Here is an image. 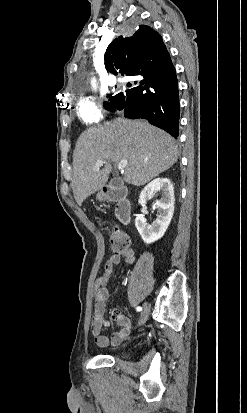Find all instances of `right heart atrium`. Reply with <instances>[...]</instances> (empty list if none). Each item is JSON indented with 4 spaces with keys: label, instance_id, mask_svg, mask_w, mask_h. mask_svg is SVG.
Returning a JSON list of instances; mask_svg holds the SVG:
<instances>
[{
    "label": "right heart atrium",
    "instance_id": "d8ad5b80",
    "mask_svg": "<svg viewBox=\"0 0 247 413\" xmlns=\"http://www.w3.org/2000/svg\"><path fill=\"white\" fill-rule=\"evenodd\" d=\"M91 109H94V110H91ZM104 111L106 113H109L111 111V108L109 106H106L104 108ZM104 111L101 105L95 106L94 100H83L77 106L78 118L83 119V122L85 124H92L94 122V119L104 118L106 116V113ZM95 130H99V129H95Z\"/></svg>",
    "mask_w": 247,
    "mask_h": 413
}]
</instances>
